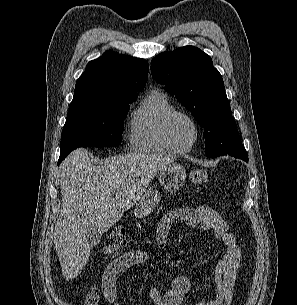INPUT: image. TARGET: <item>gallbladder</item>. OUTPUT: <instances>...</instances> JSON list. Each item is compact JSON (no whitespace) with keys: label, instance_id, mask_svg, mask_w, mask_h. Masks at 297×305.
<instances>
[{"label":"gallbladder","instance_id":"gallbladder-1","mask_svg":"<svg viewBox=\"0 0 297 305\" xmlns=\"http://www.w3.org/2000/svg\"><path fill=\"white\" fill-rule=\"evenodd\" d=\"M102 237V233L95 226H89L85 231V238L90 246H96Z\"/></svg>","mask_w":297,"mask_h":305}]
</instances>
